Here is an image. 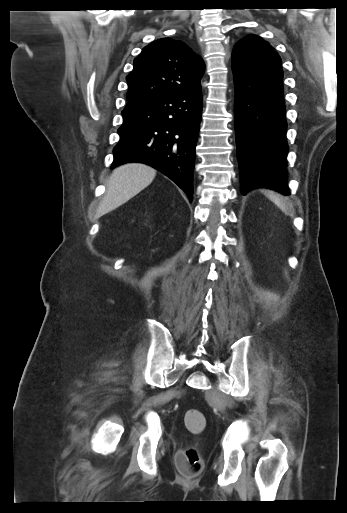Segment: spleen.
Masks as SVG:
<instances>
[{"mask_svg": "<svg viewBox=\"0 0 347 513\" xmlns=\"http://www.w3.org/2000/svg\"><path fill=\"white\" fill-rule=\"evenodd\" d=\"M266 194L283 212H287L286 205L278 196H276L273 192H268Z\"/></svg>", "mask_w": 347, "mask_h": 513, "instance_id": "spleen-1", "label": "spleen"}]
</instances>
